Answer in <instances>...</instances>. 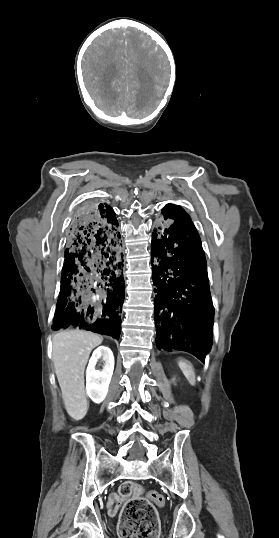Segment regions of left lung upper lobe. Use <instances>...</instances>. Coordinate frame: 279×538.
<instances>
[{
    "mask_svg": "<svg viewBox=\"0 0 279 538\" xmlns=\"http://www.w3.org/2000/svg\"><path fill=\"white\" fill-rule=\"evenodd\" d=\"M164 220L167 223L176 221V220H187L191 221L189 215L180 207L173 204H167L162 210Z\"/></svg>",
    "mask_w": 279,
    "mask_h": 538,
    "instance_id": "5c2ea615",
    "label": "left lung upper lobe"
}]
</instances>
